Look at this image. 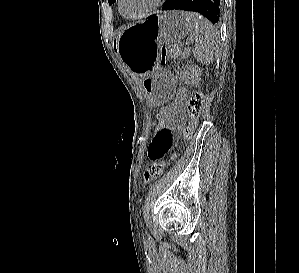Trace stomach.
<instances>
[{
    "label": "stomach",
    "instance_id": "obj_1",
    "mask_svg": "<svg viewBox=\"0 0 299 273\" xmlns=\"http://www.w3.org/2000/svg\"><path fill=\"white\" fill-rule=\"evenodd\" d=\"M189 32L186 17L180 11L154 14L147 20L125 29L116 41L120 59L138 73L141 87L154 103L169 101L173 78L161 69L163 44L180 41Z\"/></svg>",
    "mask_w": 299,
    "mask_h": 273
}]
</instances>
